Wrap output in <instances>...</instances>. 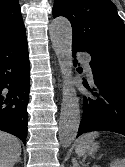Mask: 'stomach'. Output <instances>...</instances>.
Segmentation results:
<instances>
[{
	"instance_id": "0dacf381",
	"label": "stomach",
	"mask_w": 125,
	"mask_h": 167,
	"mask_svg": "<svg viewBox=\"0 0 125 167\" xmlns=\"http://www.w3.org/2000/svg\"><path fill=\"white\" fill-rule=\"evenodd\" d=\"M99 146L96 142H92L89 146V153L92 154L98 150Z\"/></svg>"
}]
</instances>
